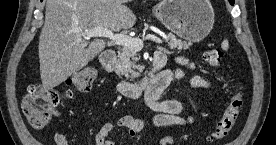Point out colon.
Segmentation results:
<instances>
[{
  "instance_id": "colon-1",
  "label": "colon",
  "mask_w": 276,
  "mask_h": 145,
  "mask_svg": "<svg viewBox=\"0 0 276 145\" xmlns=\"http://www.w3.org/2000/svg\"><path fill=\"white\" fill-rule=\"evenodd\" d=\"M203 58L208 66L217 68L222 64L223 51L219 48L209 49L204 53ZM96 76L97 73L92 68L79 70L69 76L67 79L68 88L65 91L47 88L40 84L29 85L21 103L22 112L29 125L36 129L47 125L54 107L61 102L64 95L90 89ZM243 102L241 89L238 88L231 96L229 104L217 122L211 141H220L230 133L240 116Z\"/></svg>"
}]
</instances>
